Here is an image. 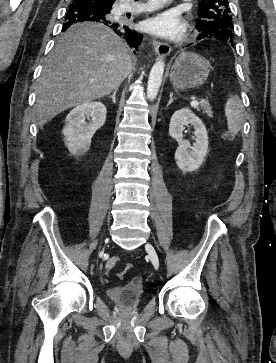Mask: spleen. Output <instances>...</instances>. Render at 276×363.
I'll return each instance as SVG.
<instances>
[{"label":"spleen","mask_w":276,"mask_h":363,"mask_svg":"<svg viewBox=\"0 0 276 363\" xmlns=\"http://www.w3.org/2000/svg\"><path fill=\"white\" fill-rule=\"evenodd\" d=\"M225 115L229 131L235 135L239 132L243 121V105L236 96H230L225 104Z\"/></svg>","instance_id":"3e777b00"}]
</instances>
